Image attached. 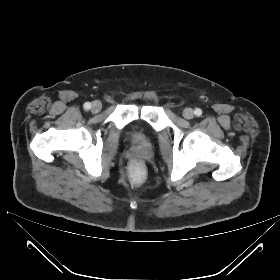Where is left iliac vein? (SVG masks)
<instances>
[{"instance_id": "left-iliac-vein-1", "label": "left iliac vein", "mask_w": 280, "mask_h": 280, "mask_svg": "<svg viewBox=\"0 0 280 280\" xmlns=\"http://www.w3.org/2000/svg\"><path fill=\"white\" fill-rule=\"evenodd\" d=\"M183 117L185 119H192L194 117V111L191 108L184 109Z\"/></svg>"}]
</instances>
